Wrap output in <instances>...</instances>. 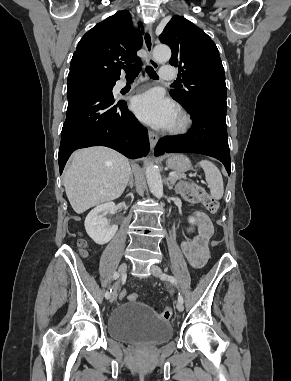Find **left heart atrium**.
Listing matches in <instances>:
<instances>
[{"label": "left heart atrium", "instance_id": "39dd6f15", "mask_svg": "<svg viewBox=\"0 0 291 381\" xmlns=\"http://www.w3.org/2000/svg\"><path fill=\"white\" fill-rule=\"evenodd\" d=\"M131 107L141 121L155 128L171 127L178 115L177 107L159 90L135 96Z\"/></svg>", "mask_w": 291, "mask_h": 381}]
</instances>
